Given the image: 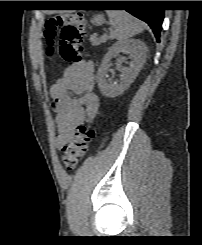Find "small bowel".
Wrapping results in <instances>:
<instances>
[{
    "mask_svg": "<svg viewBox=\"0 0 202 245\" xmlns=\"http://www.w3.org/2000/svg\"><path fill=\"white\" fill-rule=\"evenodd\" d=\"M94 64H70L50 88L57 113L55 147L59 150L72 141L84 123L93 122L100 107L93 92Z\"/></svg>",
    "mask_w": 202,
    "mask_h": 245,
    "instance_id": "small-bowel-1",
    "label": "small bowel"
}]
</instances>
